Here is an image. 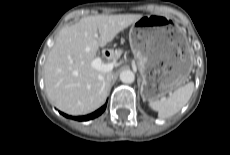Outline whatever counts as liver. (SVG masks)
<instances>
[{"label":"liver","mask_w":230,"mask_h":155,"mask_svg":"<svg viewBox=\"0 0 230 155\" xmlns=\"http://www.w3.org/2000/svg\"><path fill=\"white\" fill-rule=\"evenodd\" d=\"M141 14L97 15L62 28L44 65L48 97L61 111L82 115L98 109L106 100L109 72L92 67L98 48L104 47Z\"/></svg>","instance_id":"liver-1"}]
</instances>
